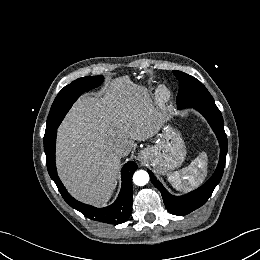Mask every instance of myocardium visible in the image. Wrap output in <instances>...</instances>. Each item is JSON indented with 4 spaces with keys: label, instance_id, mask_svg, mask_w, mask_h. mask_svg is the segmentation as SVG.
<instances>
[{
    "label": "myocardium",
    "instance_id": "myocardium-1",
    "mask_svg": "<svg viewBox=\"0 0 260 260\" xmlns=\"http://www.w3.org/2000/svg\"><path fill=\"white\" fill-rule=\"evenodd\" d=\"M172 99V94L165 86H160L156 94V102L160 107H166Z\"/></svg>",
    "mask_w": 260,
    "mask_h": 260
}]
</instances>
